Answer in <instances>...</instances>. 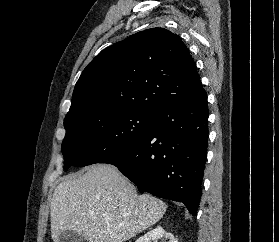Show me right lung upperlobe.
Returning a JSON list of instances; mask_svg holds the SVG:
<instances>
[{
    "label": "right lung upper lobe",
    "mask_w": 279,
    "mask_h": 242,
    "mask_svg": "<svg viewBox=\"0 0 279 242\" xmlns=\"http://www.w3.org/2000/svg\"><path fill=\"white\" fill-rule=\"evenodd\" d=\"M204 91L181 38L164 28L136 33L100 52L77 81L64 123L115 111L159 109Z\"/></svg>",
    "instance_id": "cb5924a9"
}]
</instances>
